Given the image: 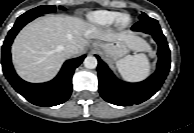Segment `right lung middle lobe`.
Returning a JSON list of instances; mask_svg holds the SVG:
<instances>
[{"mask_svg":"<svg viewBox=\"0 0 194 133\" xmlns=\"http://www.w3.org/2000/svg\"><path fill=\"white\" fill-rule=\"evenodd\" d=\"M59 8L62 9V10L65 9L62 6H60ZM55 10H56V7L55 6L43 5V6H39V7H36L34 9H31V10L27 11L22 16L36 18L38 16H41L44 13H52V12H55Z\"/></svg>","mask_w":194,"mask_h":133,"instance_id":"right-lung-middle-lobe-1","label":"right lung middle lobe"}]
</instances>
